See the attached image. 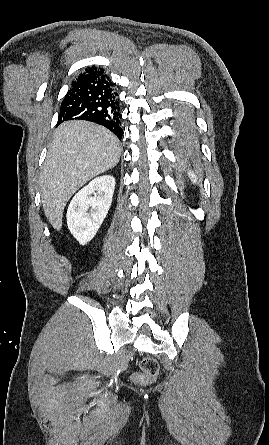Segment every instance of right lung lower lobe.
Here are the masks:
<instances>
[{"mask_svg": "<svg viewBox=\"0 0 269 445\" xmlns=\"http://www.w3.org/2000/svg\"><path fill=\"white\" fill-rule=\"evenodd\" d=\"M121 117L114 83L103 69L92 66L72 81L61 103L58 125L68 120H87L105 126L121 140Z\"/></svg>", "mask_w": 269, "mask_h": 445, "instance_id": "1", "label": "right lung lower lobe"}]
</instances>
